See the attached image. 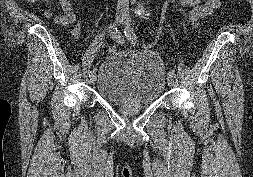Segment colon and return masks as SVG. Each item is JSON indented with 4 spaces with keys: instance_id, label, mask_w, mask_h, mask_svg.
<instances>
[{
    "instance_id": "colon-1",
    "label": "colon",
    "mask_w": 253,
    "mask_h": 177,
    "mask_svg": "<svg viewBox=\"0 0 253 177\" xmlns=\"http://www.w3.org/2000/svg\"><path fill=\"white\" fill-rule=\"evenodd\" d=\"M108 52H109L110 54L116 53V52H117L116 46H115L114 44H110V45L108 46Z\"/></svg>"
}]
</instances>
